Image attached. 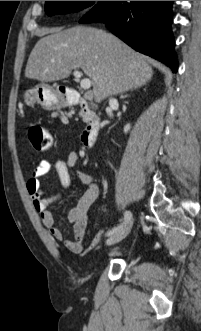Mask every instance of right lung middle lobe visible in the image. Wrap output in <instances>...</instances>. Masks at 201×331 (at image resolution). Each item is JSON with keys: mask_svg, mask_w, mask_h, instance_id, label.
Returning <instances> with one entry per match:
<instances>
[{"mask_svg": "<svg viewBox=\"0 0 201 331\" xmlns=\"http://www.w3.org/2000/svg\"><path fill=\"white\" fill-rule=\"evenodd\" d=\"M92 4V1H46L45 12L48 15L77 12Z\"/></svg>", "mask_w": 201, "mask_h": 331, "instance_id": "dd1d6c3e", "label": "right lung middle lobe"}]
</instances>
